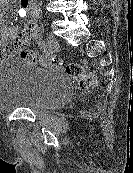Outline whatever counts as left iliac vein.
I'll list each match as a JSON object with an SVG mask.
<instances>
[{"label": "left iliac vein", "instance_id": "1", "mask_svg": "<svg viewBox=\"0 0 133 173\" xmlns=\"http://www.w3.org/2000/svg\"><path fill=\"white\" fill-rule=\"evenodd\" d=\"M46 44L50 51H55L58 48V41L53 34L48 35Z\"/></svg>", "mask_w": 133, "mask_h": 173}]
</instances>
